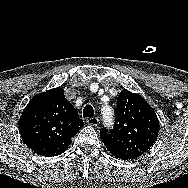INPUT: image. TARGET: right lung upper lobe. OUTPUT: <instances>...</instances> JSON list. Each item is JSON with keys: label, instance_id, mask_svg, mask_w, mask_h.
<instances>
[{"label": "right lung upper lobe", "instance_id": "1", "mask_svg": "<svg viewBox=\"0 0 188 188\" xmlns=\"http://www.w3.org/2000/svg\"><path fill=\"white\" fill-rule=\"evenodd\" d=\"M83 126L78 111L66 100L61 87L35 95L19 119L24 143L34 153L46 157L65 152Z\"/></svg>", "mask_w": 188, "mask_h": 188}]
</instances>
